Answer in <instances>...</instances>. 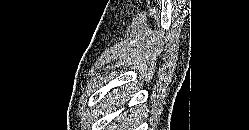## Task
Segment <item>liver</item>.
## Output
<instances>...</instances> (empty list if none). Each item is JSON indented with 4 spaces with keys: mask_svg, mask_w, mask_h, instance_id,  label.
Masks as SVG:
<instances>
[{
    "mask_svg": "<svg viewBox=\"0 0 249 130\" xmlns=\"http://www.w3.org/2000/svg\"><path fill=\"white\" fill-rule=\"evenodd\" d=\"M129 97H128V93L126 92V89L124 91V87L123 89L121 88V91L116 89L113 90L111 93H108L105 96V103H104V107H109L111 108L112 112L122 108V106H124L126 104V102L128 101ZM128 111H123L122 113H120L119 116V122H120V127L122 128V130H125L126 128H129V125H132V123L134 122V117L136 116V112L134 110L132 116H127Z\"/></svg>",
    "mask_w": 249,
    "mask_h": 130,
    "instance_id": "obj_1",
    "label": "liver"
}]
</instances>
